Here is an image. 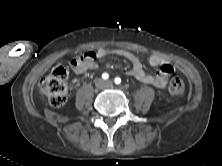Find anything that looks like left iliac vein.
<instances>
[{
    "mask_svg": "<svg viewBox=\"0 0 222 166\" xmlns=\"http://www.w3.org/2000/svg\"><path fill=\"white\" fill-rule=\"evenodd\" d=\"M106 84H107L108 86H111V85H112V81H111V80H108V81L106 82Z\"/></svg>",
    "mask_w": 222,
    "mask_h": 166,
    "instance_id": "obj_1",
    "label": "left iliac vein"
}]
</instances>
